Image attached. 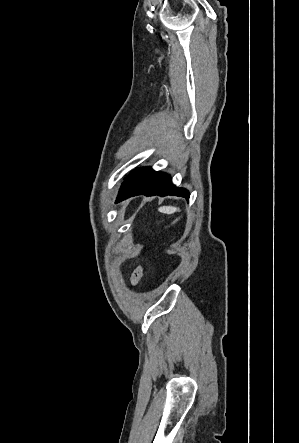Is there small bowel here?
<instances>
[{"label": "small bowel", "instance_id": "1", "mask_svg": "<svg viewBox=\"0 0 299 443\" xmlns=\"http://www.w3.org/2000/svg\"><path fill=\"white\" fill-rule=\"evenodd\" d=\"M144 273H145L144 267L141 266V265L137 266L133 270V272L131 273L130 283L133 286L139 285V283L141 282L142 278L144 277Z\"/></svg>", "mask_w": 299, "mask_h": 443}]
</instances>
